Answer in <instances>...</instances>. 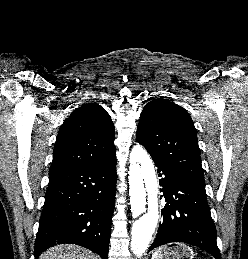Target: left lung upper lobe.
Wrapping results in <instances>:
<instances>
[{"label":"left lung upper lobe","instance_id":"1","mask_svg":"<svg viewBox=\"0 0 248 259\" xmlns=\"http://www.w3.org/2000/svg\"><path fill=\"white\" fill-rule=\"evenodd\" d=\"M136 138L152 158L205 188L196 129L183 107L163 99L150 101L140 115Z\"/></svg>","mask_w":248,"mask_h":259}]
</instances>
